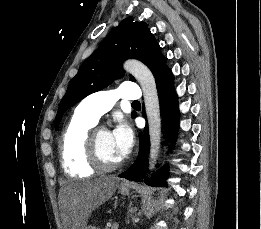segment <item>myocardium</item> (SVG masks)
<instances>
[{
    "mask_svg": "<svg viewBox=\"0 0 261 229\" xmlns=\"http://www.w3.org/2000/svg\"><path fill=\"white\" fill-rule=\"evenodd\" d=\"M102 130H96L91 137L89 146V157L93 165L100 171H113L123 165V160L108 162L101 154L99 146V135Z\"/></svg>",
    "mask_w": 261,
    "mask_h": 229,
    "instance_id": "obj_1",
    "label": "myocardium"
}]
</instances>
